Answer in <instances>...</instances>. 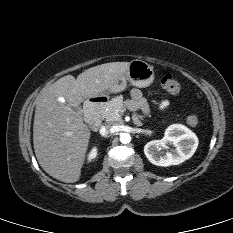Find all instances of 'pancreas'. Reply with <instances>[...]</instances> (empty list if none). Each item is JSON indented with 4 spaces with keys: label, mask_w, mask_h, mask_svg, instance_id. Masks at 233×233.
<instances>
[{
    "label": "pancreas",
    "mask_w": 233,
    "mask_h": 233,
    "mask_svg": "<svg viewBox=\"0 0 233 233\" xmlns=\"http://www.w3.org/2000/svg\"><path fill=\"white\" fill-rule=\"evenodd\" d=\"M124 109L122 96L112 98L106 106V110L102 112V118L108 123L121 122V111Z\"/></svg>",
    "instance_id": "pancreas-1"
}]
</instances>
